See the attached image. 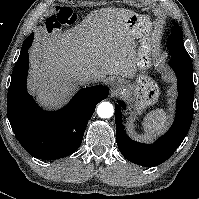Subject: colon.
<instances>
[{
  "label": "colon",
  "instance_id": "5ec220e1",
  "mask_svg": "<svg viewBox=\"0 0 199 199\" xmlns=\"http://www.w3.org/2000/svg\"><path fill=\"white\" fill-rule=\"evenodd\" d=\"M74 20V13L70 9L59 8L46 20L45 27L48 31H53L62 25L72 24Z\"/></svg>",
  "mask_w": 199,
  "mask_h": 199
}]
</instances>
